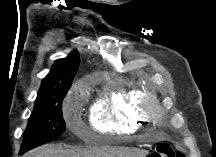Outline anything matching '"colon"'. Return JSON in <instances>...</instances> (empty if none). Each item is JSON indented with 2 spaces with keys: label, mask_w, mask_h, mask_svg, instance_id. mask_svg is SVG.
Returning a JSON list of instances; mask_svg holds the SVG:
<instances>
[{
  "label": "colon",
  "mask_w": 216,
  "mask_h": 157,
  "mask_svg": "<svg viewBox=\"0 0 216 157\" xmlns=\"http://www.w3.org/2000/svg\"><path fill=\"white\" fill-rule=\"evenodd\" d=\"M149 157H185V154L173 149L168 144H160L151 152Z\"/></svg>",
  "instance_id": "5ec220e1"
}]
</instances>
